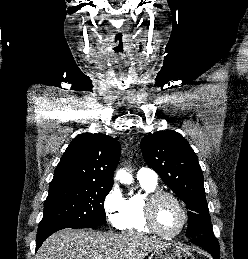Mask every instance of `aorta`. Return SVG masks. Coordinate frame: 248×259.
I'll list each match as a JSON object with an SVG mask.
<instances>
[{"instance_id":"1","label":"aorta","mask_w":248,"mask_h":259,"mask_svg":"<svg viewBox=\"0 0 248 259\" xmlns=\"http://www.w3.org/2000/svg\"><path fill=\"white\" fill-rule=\"evenodd\" d=\"M116 178L124 184H131L133 183V177L130 173L127 172L126 169H120L118 170L117 174H116Z\"/></svg>"}]
</instances>
